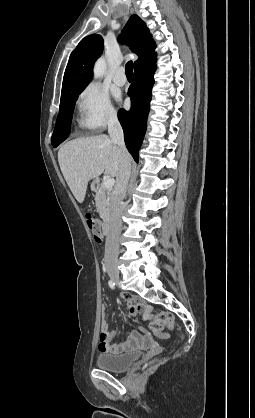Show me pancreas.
<instances>
[{
  "label": "pancreas",
  "mask_w": 255,
  "mask_h": 418,
  "mask_svg": "<svg viewBox=\"0 0 255 418\" xmlns=\"http://www.w3.org/2000/svg\"><path fill=\"white\" fill-rule=\"evenodd\" d=\"M95 202L99 216L102 219H105L108 216L110 209V192L103 185H101L96 192Z\"/></svg>",
  "instance_id": "obj_1"
}]
</instances>
